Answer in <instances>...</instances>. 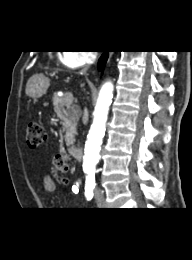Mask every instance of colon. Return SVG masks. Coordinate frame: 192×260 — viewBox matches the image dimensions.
<instances>
[{"instance_id":"1","label":"colon","mask_w":192,"mask_h":260,"mask_svg":"<svg viewBox=\"0 0 192 260\" xmlns=\"http://www.w3.org/2000/svg\"><path fill=\"white\" fill-rule=\"evenodd\" d=\"M26 142L31 148L41 146L46 139V132L42 125L29 120L25 124ZM54 169L58 173H64L69 169V162L63 155H57L54 159Z\"/></svg>"}]
</instances>
